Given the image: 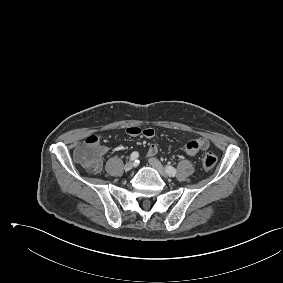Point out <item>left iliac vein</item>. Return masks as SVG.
<instances>
[{
    "mask_svg": "<svg viewBox=\"0 0 283 283\" xmlns=\"http://www.w3.org/2000/svg\"><path fill=\"white\" fill-rule=\"evenodd\" d=\"M149 163L151 164V166L153 168H155L159 174L164 177V178H169L167 172L165 171L164 167L162 166V164L159 162V160H157L156 158H150L149 159Z\"/></svg>",
    "mask_w": 283,
    "mask_h": 283,
    "instance_id": "obj_1",
    "label": "left iliac vein"
}]
</instances>
